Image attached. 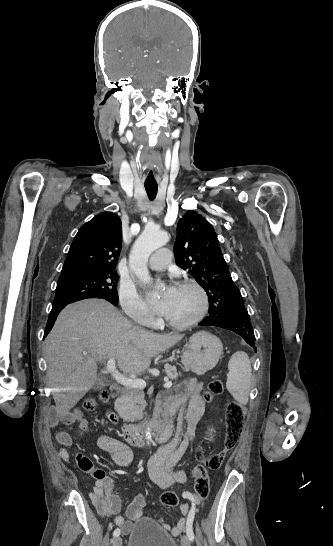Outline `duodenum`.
Wrapping results in <instances>:
<instances>
[{
    "label": "duodenum",
    "mask_w": 333,
    "mask_h": 546,
    "mask_svg": "<svg viewBox=\"0 0 333 546\" xmlns=\"http://www.w3.org/2000/svg\"><path fill=\"white\" fill-rule=\"evenodd\" d=\"M111 397L113 399H117L119 396V387L112 386L111 387ZM107 417L109 421L112 424H116L118 422V415L115 411L109 410L107 412ZM167 430V419L165 416L158 415L155 419V422L151 429L150 436L148 435V429L146 426H140V425H129L122 429L121 436L128 444L133 446H140L144 443L148 442L151 437L160 439L162 438Z\"/></svg>",
    "instance_id": "obj_1"
}]
</instances>
